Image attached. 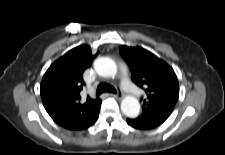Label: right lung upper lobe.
I'll list each match as a JSON object with an SVG mask.
<instances>
[{
	"instance_id": "obj_1",
	"label": "right lung upper lobe",
	"mask_w": 225,
	"mask_h": 155,
	"mask_svg": "<svg viewBox=\"0 0 225 155\" xmlns=\"http://www.w3.org/2000/svg\"><path fill=\"white\" fill-rule=\"evenodd\" d=\"M96 57L88 45H80L57 61L46 71L40 86L44 107L60 126L70 130H82L93 125L100 111L101 100H81L80 92L85 84L82 78Z\"/></svg>"
}]
</instances>
